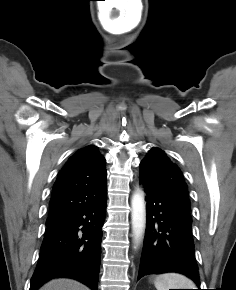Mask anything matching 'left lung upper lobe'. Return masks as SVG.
Listing matches in <instances>:
<instances>
[{"label":"left lung upper lobe","mask_w":236,"mask_h":290,"mask_svg":"<svg viewBox=\"0 0 236 290\" xmlns=\"http://www.w3.org/2000/svg\"><path fill=\"white\" fill-rule=\"evenodd\" d=\"M139 168L140 182L168 190L190 206L187 185L182 173L164 151L156 147L152 148L141 161Z\"/></svg>","instance_id":"5c2ea615"}]
</instances>
